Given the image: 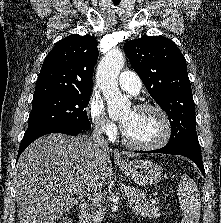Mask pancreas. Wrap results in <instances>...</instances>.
I'll use <instances>...</instances> for the list:
<instances>
[{
    "mask_svg": "<svg viewBox=\"0 0 221 223\" xmlns=\"http://www.w3.org/2000/svg\"><path fill=\"white\" fill-rule=\"evenodd\" d=\"M128 195L129 206L135 215L143 217L155 218L160 216L158 202L145 197L137 188L127 186L125 188ZM104 217L101 205H97V209L92 214L86 215L80 223H99Z\"/></svg>",
    "mask_w": 221,
    "mask_h": 223,
    "instance_id": "cf45deb5",
    "label": "pancreas"
}]
</instances>
